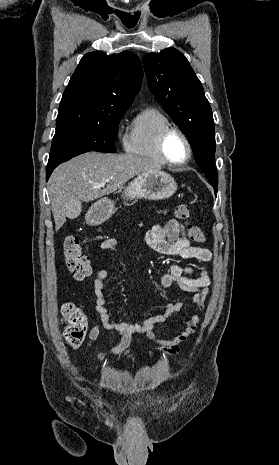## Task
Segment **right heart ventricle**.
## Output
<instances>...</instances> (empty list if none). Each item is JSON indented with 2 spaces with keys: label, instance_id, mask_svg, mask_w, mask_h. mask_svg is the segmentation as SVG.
Here are the masks:
<instances>
[{
  "label": "right heart ventricle",
  "instance_id": "e07e8e85",
  "mask_svg": "<svg viewBox=\"0 0 279 465\" xmlns=\"http://www.w3.org/2000/svg\"><path fill=\"white\" fill-rule=\"evenodd\" d=\"M169 126V118L159 108L142 109L130 124L124 141L125 151L157 164H165L158 152L157 141L160 133Z\"/></svg>",
  "mask_w": 279,
  "mask_h": 465
}]
</instances>
